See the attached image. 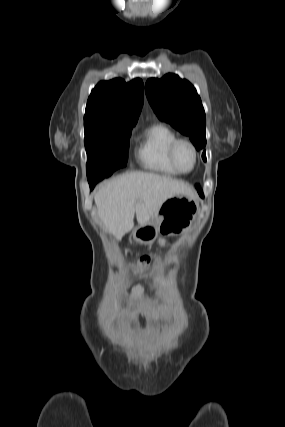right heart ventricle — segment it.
Returning <instances> with one entry per match:
<instances>
[{
    "instance_id": "e07e8e85",
    "label": "right heart ventricle",
    "mask_w": 285,
    "mask_h": 427,
    "mask_svg": "<svg viewBox=\"0 0 285 427\" xmlns=\"http://www.w3.org/2000/svg\"><path fill=\"white\" fill-rule=\"evenodd\" d=\"M177 138V134L163 123H155L146 128L136 149V157L141 166L163 175H178L168 158L169 147Z\"/></svg>"
}]
</instances>
